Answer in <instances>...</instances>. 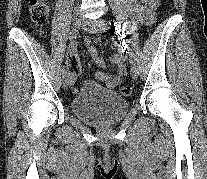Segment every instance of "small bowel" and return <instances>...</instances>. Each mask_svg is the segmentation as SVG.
<instances>
[{"label": "small bowel", "instance_id": "1", "mask_svg": "<svg viewBox=\"0 0 207 179\" xmlns=\"http://www.w3.org/2000/svg\"><path fill=\"white\" fill-rule=\"evenodd\" d=\"M128 5L139 23L144 26H149L153 23L158 0H128ZM86 43L93 62L98 68H100L97 72L98 80L104 83L106 89L113 90L122 83L123 77L127 72L125 62L126 51L124 50V47L117 43L112 44V48L116 49L117 52L109 58L110 63L116 68V74L111 76L104 71L106 65L97 50L90 45L89 40H87ZM73 51L74 50L72 49L70 53H73ZM74 63L79 68L77 57H74ZM69 78L71 84H73L76 80V74H71Z\"/></svg>", "mask_w": 207, "mask_h": 179}]
</instances>
